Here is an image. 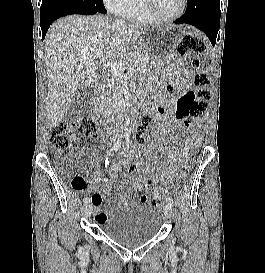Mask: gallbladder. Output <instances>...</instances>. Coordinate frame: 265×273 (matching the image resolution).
I'll list each match as a JSON object with an SVG mask.
<instances>
[{
    "label": "gallbladder",
    "instance_id": "obj_1",
    "mask_svg": "<svg viewBox=\"0 0 265 273\" xmlns=\"http://www.w3.org/2000/svg\"><path fill=\"white\" fill-rule=\"evenodd\" d=\"M93 92L94 87L91 85L81 87L80 91L75 94L74 102L65 113L64 118L73 121L82 116L89 108Z\"/></svg>",
    "mask_w": 265,
    "mask_h": 273
}]
</instances>
